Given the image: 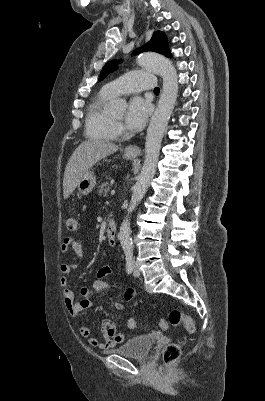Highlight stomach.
I'll return each instance as SVG.
<instances>
[{
	"mask_svg": "<svg viewBox=\"0 0 265 401\" xmlns=\"http://www.w3.org/2000/svg\"><path fill=\"white\" fill-rule=\"evenodd\" d=\"M123 158H136V156H132V154H128L125 152ZM96 182V174L94 170H87L86 174H84L81 180H78V190L80 194H89L92 188H94Z\"/></svg>",
	"mask_w": 265,
	"mask_h": 401,
	"instance_id": "1",
	"label": "stomach"
}]
</instances>
